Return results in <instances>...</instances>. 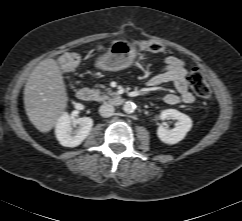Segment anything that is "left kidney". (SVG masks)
<instances>
[{
	"instance_id": "5707ae66",
	"label": "left kidney",
	"mask_w": 242,
	"mask_h": 221,
	"mask_svg": "<svg viewBox=\"0 0 242 221\" xmlns=\"http://www.w3.org/2000/svg\"><path fill=\"white\" fill-rule=\"evenodd\" d=\"M162 120L173 119L177 120L173 129H168L160 125L157 129L158 138L165 144H176L183 140L188 131L192 127V120L189 116L179 112L176 109H166L160 114Z\"/></svg>"
}]
</instances>
